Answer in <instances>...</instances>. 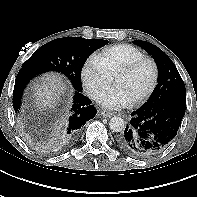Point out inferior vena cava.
Segmentation results:
<instances>
[{"label": "inferior vena cava", "instance_id": "602c4592", "mask_svg": "<svg viewBox=\"0 0 197 197\" xmlns=\"http://www.w3.org/2000/svg\"><path fill=\"white\" fill-rule=\"evenodd\" d=\"M91 97L95 98V97H96V94H95V93H93V94L91 95Z\"/></svg>", "mask_w": 197, "mask_h": 197}]
</instances>
